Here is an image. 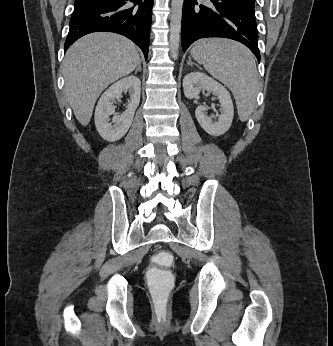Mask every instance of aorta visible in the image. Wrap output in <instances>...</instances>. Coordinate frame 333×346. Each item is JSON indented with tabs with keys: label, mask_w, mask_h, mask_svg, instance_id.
Here are the masks:
<instances>
[{
	"label": "aorta",
	"mask_w": 333,
	"mask_h": 346,
	"mask_svg": "<svg viewBox=\"0 0 333 346\" xmlns=\"http://www.w3.org/2000/svg\"><path fill=\"white\" fill-rule=\"evenodd\" d=\"M184 0L171 1V16H170V53L174 59L178 58L180 31H181V18Z\"/></svg>",
	"instance_id": "aorta-1"
}]
</instances>
